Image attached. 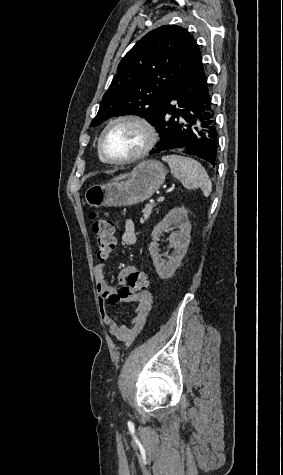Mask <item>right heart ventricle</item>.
I'll return each mask as SVG.
<instances>
[{"mask_svg":"<svg viewBox=\"0 0 283 475\" xmlns=\"http://www.w3.org/2000/svg\"><path fill=\"white\" fill-rule=\"evenodd\" d=\"M97 156H98V159H99L101 162H105V161L101 158V156H100V154H99V152H98V148H97Z\"/></svg>","mask_w":283,"mask_h":475,"instance_id":"obj_1","label":"right heart ventricle"}]
</instances>
